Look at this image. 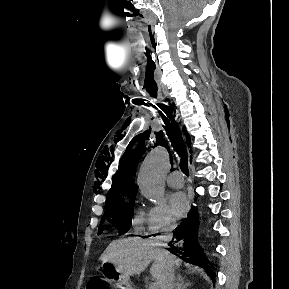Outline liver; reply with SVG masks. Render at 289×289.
<instances>
[{
    "label": "liver",
    "instance_id": "1",
    "mask_svg": "<svg viewBox=\"0 0 289 289\" xmlns=\"http://www.w3.org/2000/svg\"><path fill=\"white\" fill-rule=\"evenodd\" d=\"M100 260L111 262L124 276L139 275L153 261L150 274L156 281L158 289L165 264L179 268L181 260L169 251L157 248L148 240L138 237L115 240L109 244Z\"/></svg>",
    "mask_w": 289,
    "mask_h": 289
}]
</instances>
